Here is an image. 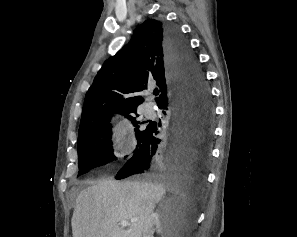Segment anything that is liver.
<instances>
[{
	"label": "liver",
	"instance_id": "1",
	"mask_svg": "<svg viewBox=\"0 0 297 237\" xmlns=\"http://www.w3.org/2000/svg\"><path fill=\"white\" fill-rule=\"evenodd\" d=\"M165 192L163 183L152 181L92 182L76 198L73 237H142L147 218ZM122 221H130L128 230L120 226Z\"/></svg>",
	"mask_w": 297,
	"mask_h": 237
}]
</instances>
